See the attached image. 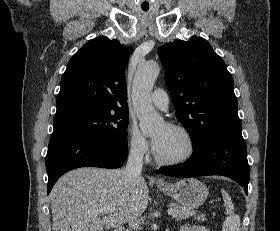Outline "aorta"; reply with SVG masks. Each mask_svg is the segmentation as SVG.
<instances>
[{"label":"aorta","mask_w":280,"mask_h":231,"mask_svg":"<svg viewBox=\"0 0 280 231\" xmlns=\"http://www.w3.org/2000/svg\"><path fill=\"white\" fill-rule=\"evenodd\" d=\"M159 74L160 68L156 62H147L144 66H138L135 74L132 102L143 135L155 133L160 123L164 121L163 117L155 112L151 102L153 84Z\"/></svg>","instance_id":"1"}]
</instances>
